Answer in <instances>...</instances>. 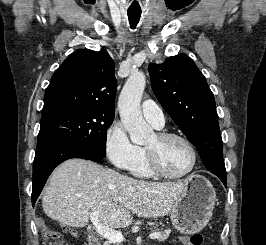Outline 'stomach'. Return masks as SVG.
<instances>
[{
    "instance_id": "stomach-1",
    "label": "stomach",
    "mask_w": 266,
    "mask_h": 245,
    "mask_svg": "<svg viewBox=\"0 0 266 245\" xmlns=\"http://www.w3.org/2000/svg\"><path fill=\"white\" fill-rule=\"evenodd\" d=\"M184 183L186 189L169 213L176 231L193 235L202 231L211 221L216 193L212 183L202 175H189Z\"/></svg>"
}]
</instances>
